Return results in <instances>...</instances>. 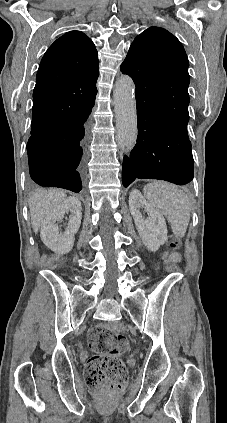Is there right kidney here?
<instances>
[{"label":"right kidney","instance_id":"1","mask_svg":"<svg viewBox=\"0 0 227 423\" xmlns=\"http://www.w3.org/2000/svg\"><path fill=\"white\" fill-rule=\"evenodd\" d=\"M70 211L69 221L65 231L60 233L58 221L64 213ZM82 219L81 202L78 198H67L62 204L54 206L48 211L41 223V239L49 249L55 253H69L73 247L75 233H77Z\"/></svg>","mask_w":227,"mask_h":423}]
</instances>
